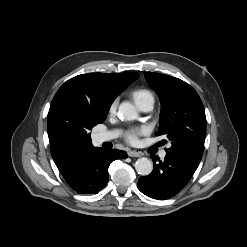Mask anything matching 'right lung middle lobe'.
Wrapping results in <instances>:
<instances>
[{"mask_svg":"<svg viewBox=\"0 0 247 247\" xmlns=\"http://www.w3.org/2000/svg\"><path fill=\"white\" fill-rule=\"evenodd\" d=\"M108 109L98 112L87 106L72 103L60 104L55 112V123L59 130L76 143H92L90 131L106 119Z\"/></svg>","mask_w":247,"mask_h":247,"instance_id":"1","label":"right lung middle lobe"}]
</instances>
